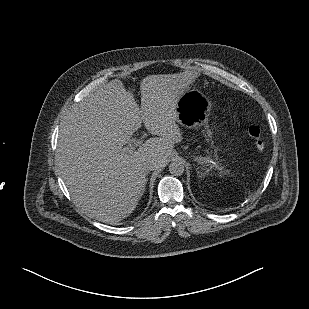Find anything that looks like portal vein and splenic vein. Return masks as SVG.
I'll use <instances>...</instances> for the list:
<instances>
[{
    "label": "portal vein and splenic vein",
    "instance_id": "portal-vein-and-splenic-vein-1",
    "mask_svg": "<svg viewBox=\"0 0 309 309\" xmlns=\"http://www.w3.org/2000/svg\"><path fill=\"white\" fill-rule=\"evenodd\" d=\"M141 143H142V141H136V142L134 143V146H135V147H138Z\"/></svg>",
    "mask_w": 309,
    "mask_h": 309
}]
</instances>
